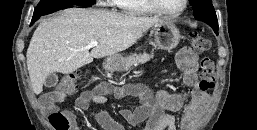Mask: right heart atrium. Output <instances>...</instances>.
I'll return each instance as SVG.
<instances>
[{
	"instance_id": "obj_1",
	"label": "right heart atrium",
	"mask_w": 257,
	"mask_h": 130,
	"mask_svg": "<svg viewBox=\"0 0 257 130\" xmlns=\"http://www.w3.org/2000/svg\"><path fill=\"white\" fill-rule=\"evenodd\" d=\"M113 0H104V2H102L104 5H110L113 4L112 2Z\"/></svg>"
}]
</instances>
